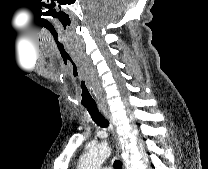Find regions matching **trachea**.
Segmentation results:
<instances>
[{"label": "trachea", "instance_id": "trachea-1", "mask_svg": "<svg viewBox=\"0 0 208 169\" xmlns=\"http://www.w3.org/2000/svg\"><path fill=\"white\" fill-rule=\"evenodd\" d=\"M89 114L91 115L93 121L100 126L101 128H107L109 126V121L105 118V116L99 111L96 105L92 106H84ZM115 169H122V162L120 160H115L114 162Z\"/></svg>", "mask_w": 208, "mask_h": 169}]
</instances>
